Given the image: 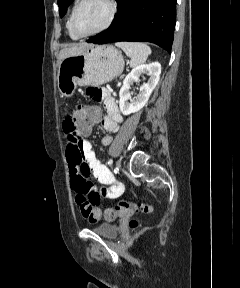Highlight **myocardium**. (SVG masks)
<instances>
[{"label":"myocardium","mask_w":240,"mask_h":288,"mask_svg":"<svg viewBox=\"0 0 240 288\" xmlns=\"http://www.w3.org/2000/svg\"><path fill=\"white\" fill-rule=\"evenodd\" d=\"M86 1L87 0H78V2L75 4V6L72 10L71 16H70V29L78 38H85V37L93 36V35L99 34L103 31L107 30L111 26V24L113 23L115 16H116V12H117V6H116L115 1L114 0H105L109 6V14H108V17H107L106 21L104 22V24L92 32H89L86 34L78 33L75 29V26H74L75 16H76V13H77L78 9L80 8V6L83 3H85Z\"/></svg>","instance_id":"f54148a6"}]
</instances>
